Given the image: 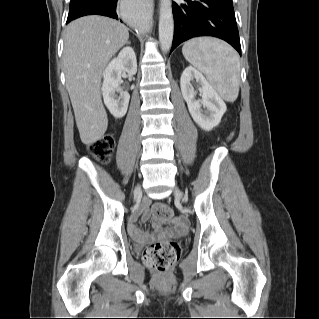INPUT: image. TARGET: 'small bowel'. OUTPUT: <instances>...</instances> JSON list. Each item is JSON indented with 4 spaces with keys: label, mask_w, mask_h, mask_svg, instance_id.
<instances>
[{
    "label": "small bowel",
    "mask_w": 319,
    "mask_h": 319,
    "mask_svg": "<svg viewBox=\"0 0 319 319\" xmlns=\"http://www.w3.org/2000/svg\"><path fill=\"white\" fill-rule=\"evenodd\" d=\"M149 206H150V199L148 197H144L142 199L139 209L134 213L133 217L131 218V221L128 224V231L130 235L140 240L141 242L150 240V238L145 237L144 233L135 226L134 222L139 217H142L145 220L149 218V213H148ZM171 223L174 226L173 229L161 230V224L157 221H154V226L159 231V234L157 236L158 237L173 236V235L184 233L187 230L188 223L182 217H179V216L174 217L171 220Z\"/></svg>",
    "instance_id": "small-bowel-1"
}]
</instances>
